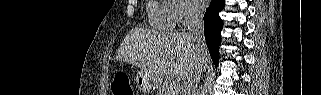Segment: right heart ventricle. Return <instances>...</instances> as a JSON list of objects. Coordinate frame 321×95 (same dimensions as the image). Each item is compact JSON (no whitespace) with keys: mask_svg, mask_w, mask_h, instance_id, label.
Masks as SVG:
<instances>
[{"mask_svg":"<svg viewBox=\"0 0 321 95\" xmlns=\"http://www.w3.org/2000/svg\"><path fill=\"white\" fill-rule=\"evenodd\" d=\"M147 13L150 25L156 30L168 31L175 25L163 1H150Z\"/></svg>","mask_w":321,"mask_h":95,"instance_id":"obj_1","label":"right heart ventricle"}]
</instances>
